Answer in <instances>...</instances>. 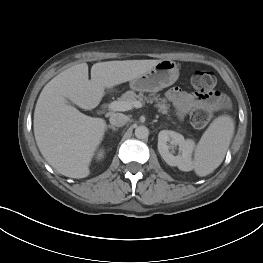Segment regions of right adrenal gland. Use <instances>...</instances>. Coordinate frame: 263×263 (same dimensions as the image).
<instances>
[{"label":"right adrenal gland","instance_id":"1","mask_svg":"<svg viewBox=\"0 0 263 263\" xmlns=\"http://www.w3.org/2000/svg\"><path fill=\"white\" fill-rule=\"evenodd\" d=\"M107 127L110 128V129H112L113 131H116V130H117V128H115V127L112 126V125H108Z\"/></svg>","mask_w":263,"mask_h":263}]
</instances>
